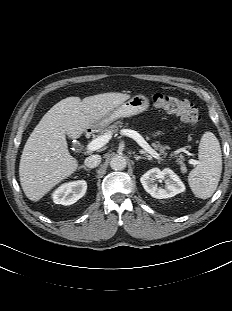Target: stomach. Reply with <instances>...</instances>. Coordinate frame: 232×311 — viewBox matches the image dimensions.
Instances as JSON below:
<instances>
[{
	"label": "stomach",
	"instance_id": "0dacf381",
	"mask_svg": "<svg viewBox=\"0 0 232 311\" xmlns=\"http://www.w3.org/2000/svg\"><path fill=\"white\" fill-rule=\"evenodd\" d=\"M149 107V99L144 95H134L126 102L120 104L116 108H114L111 112L105 115L100 120L94 122L90 129L93 131H100L106 126H108L113 121L123 118V117H131L133 115H137L147 110Z\"/></svg>",
	"mask_w": 232,
	"mask_h": 311
}]
</instances>
